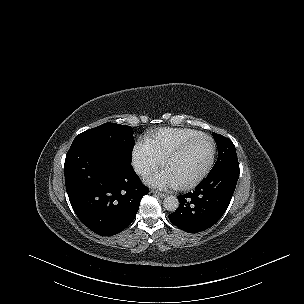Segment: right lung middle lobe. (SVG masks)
Returning <instances> with one entry per match:
<instances>
[{
	"instance_id": "1",
	"label": "right lung middle lobe",
	"mask_w": 304,
	"mask_h": 304,
	"mask_svg": "<svg viewBox=\"0 0 304 304\" xmlns=\"http://www.w3.org/2000/svg\"><path fill=\"white\" fill-rule=\"evenodd\" d=\"M131 126L105 123L77 135L72 144L94 143L112 150L123 163H131V153L135 141Z\"/></svg>"
}]
</instances>
